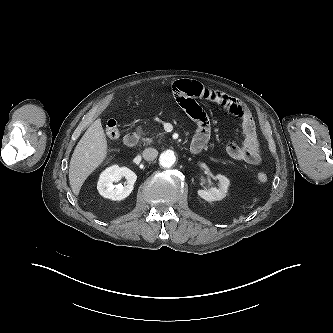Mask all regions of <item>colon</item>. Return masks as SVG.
<instances>
[{
  "label": "colon",
  "instance_id": "obj_1",
  "mask_svg": "<svg viewBox=\"0 0 333 333\" xmlns=\"http://www.w3.org/2000/svg\"><path fill=\"white\" fill-rule=\"evenodd\" d=\"M106 135L111 139H117L120 136V131L118 124L114 119H110L106 123L105 127ZM257 180L260 183H265L268 181V176L264 172H260L257 175Z\"/></svg>",
  "mask_w": 333,
  "mask_h": 333
}]
</instances>
